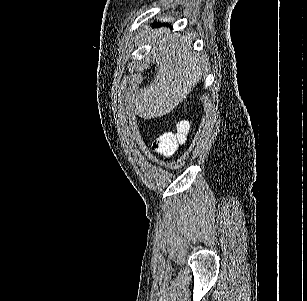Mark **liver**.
<instances>
[{"instance_id":"obj_1","label":"liver","mask_w":307,"mask_h":301,"mask_svg":"<svg viewBox=\"0 0 307 301\" xmlns=\"http://www.w3.org/2000/svg\"><path fill=\"white\" fill-rule=\"evenodd\" d=\"M168 30L160 26L150 36L158 68L155 66L150 84L139 88L134 100L133 110L141 118L171 112L197 86L207 66L204 56L191 52L190 40H179L176 32L168 34Z\"/></svg>"}]
</instances>
